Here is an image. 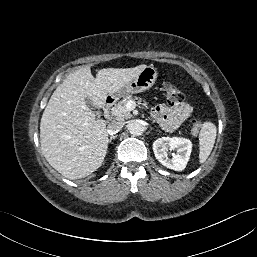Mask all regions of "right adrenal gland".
I'll return each mask as SVG.
<instances>
[{
  "mask_svg": "<svg viewBox=\"0 0 257 257\" xmlns=\"http://www.w3.org/2000/svg\"><path fill=\"white\" fill-rule=\"evenodd\" d=\"M117 136H111L110 139L108 140V142L110 143L112 141V139H115Z\"/></svg>",
  "mask_w": 257,
  "mask_h": 257,
  "instance_id": "1",
  "label": "right adrenal gland"
}]
</instances>
